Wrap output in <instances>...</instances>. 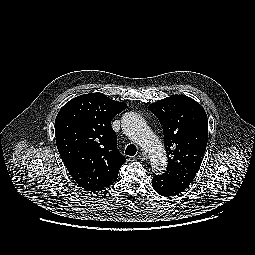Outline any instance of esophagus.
<instances>
[{
  "label": "esophagus",
  "instance_id": "obj_1",
  "mask_svg": "<svg viewBox=\"0 0 255 255\" xmlns=\"http://www.w3.org/2000/svg\"><path fill=\"white\" fill-rule=\"evenodd\" d=\"M138 158L140 160L144 161V160L148 159V156H147V154L145 152H141V153L138 154Z\"/></svg>",
  "mask_w": 255,
  "mask_h": 255
}]
</instances>
